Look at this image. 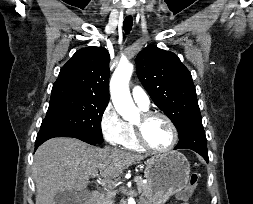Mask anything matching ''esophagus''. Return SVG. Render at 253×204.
I'll return each mask as SVG.
<instances>
[{
    "label": "esophagus",
    "instance_id": "esophagus-1",
    "mask_svg": "<svg viewBox=\"0 0 253 204\" xmlns=\"http://www.w3.org/2000/svg\"><path fill=\"white\" fill-rule=\"evenodd\" d=\"M126 13H127V15H133L135 13V11L132 8H128Z\"/></svg>",
    "mask_w": 253,
    "mask_h": 204
}]
</instances>
